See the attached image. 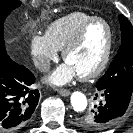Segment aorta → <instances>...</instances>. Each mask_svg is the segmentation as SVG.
Returning <instances> with one entry per match:
<instances>
[{"instance_id": "aorta-1", "label": "aorta", "mask_w": 133, "mask_h": 133, "mask_svg": "<svg viewBox=\"0 0 133 133\" xmlns=\"http://www.w3.org/2000/svg\"><path fill=\"white\" fill-rule=\"evenodd\" d=\"M71 105L76 112H83L87 108V98L79 91L73 92L71 95Z\"/></svg>"}]
</instances>
